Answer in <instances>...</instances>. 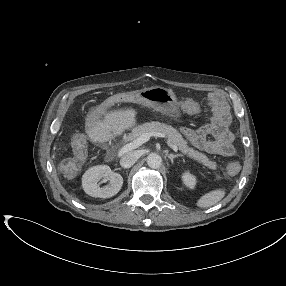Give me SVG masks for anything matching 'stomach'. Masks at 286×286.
<instances>
[{
    "label": "stomach",
    "mask_w": 286,
    "mask_h": 286,
    "mask_svg": "<svg viewBox=\"0 0 286 286\" xmlns=\"http://www.w3.org/2000/svg\"><path fill=\"white\" fill-rule=\"evenodd\" d=\"M141 102L163 115L177 119L180 117L178 101L171 89L160 86L148 87L138 92Z\"/></svg>",
    "instance_id": "0dacf381"
}]
</instances>
